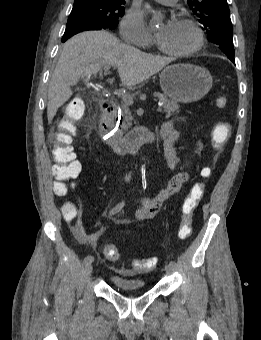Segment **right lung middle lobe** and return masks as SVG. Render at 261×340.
<instances>
[{
  "mask_svg": "<svg viewBox=\"0 0 261 340\" xmlns=\"http://www.w3.org/2000/svg\"><path fill=\"white\" fill-rule=\"evenodd\" d=\"M124 4L122 1L74 2L68 21L87 19L112 30L118 25V19L124 15Z\"/></svg>",
  "mask_w": 261,
  "mask_h": 340,
  "instance_id": "obj_1",
  "label": "right lung middle lobe"
}]
</instances>
